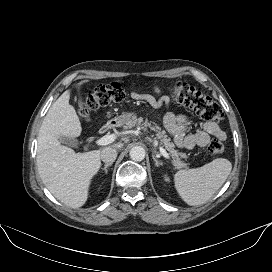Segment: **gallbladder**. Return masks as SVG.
Returning <instances> with one entry per match:
<instances>
[{
    "mask_svg": "<svg viewBox=\"0 0 272 272\" xmlns=\"http://www.w3.org/2000/svg\"><path fill=\"white\" fill-rule=\"evenodd\" d=\"M59 141L64 144V145H67V146H76L78 144V141L73 139V138H69V137H64V136H61L59 138Z\"/></svg>",
    "mask_w": 272,
    "mask_h": 272,
    "instance_id": "bac80fb5",
    "label": "gallbladder"
}]
</instances>
